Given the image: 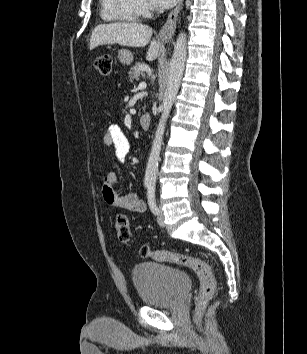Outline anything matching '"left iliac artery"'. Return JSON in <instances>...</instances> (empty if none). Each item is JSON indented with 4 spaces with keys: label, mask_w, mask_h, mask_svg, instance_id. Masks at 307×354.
Instances as JSON below:
<instances>
[{
    "label": "left iliac artery",
    "mask_w": 307,
    "mask_h": 354,
    "mask_svg": "<svg viewBox=\"0 0 307 354\" xmlns=\"http://www.w3.org/2000/svg\"><path fill=\"white\" fill-rule=\"evenodd\" d=\"M147 199H148V204H149V207H150L152 213L157 215L159 210L156 205L155 185L154 184H150L147 186Z\"/></svg>",
    "instance_id": "1"
}]
</instances>
